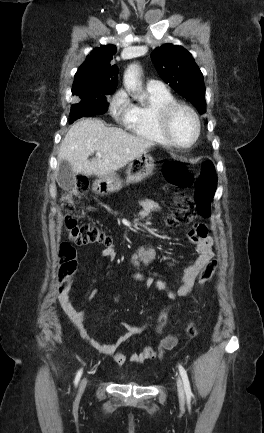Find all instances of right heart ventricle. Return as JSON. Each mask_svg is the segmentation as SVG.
Listing matches in <instances>:
<instances>
[{
	"label": "right heart ventricle",
	"instance_id": "e07e8e85",
	"mask_svg": "<svg viewBox=\"0 0 264 433\" xmlns=\"http://www.w3.org/2000/svg\"><path fill=\"white\" fill-rule=\"evenodd\" d=\"M145 101L132 104V111L124 122L125 127L135 136L154 143L169 145L158 123V111L165 105L175 102L168 91L146 90Z\"/></svg>",
	"mask_w": 264,
	"mask_h": 433
}]
</instances>
